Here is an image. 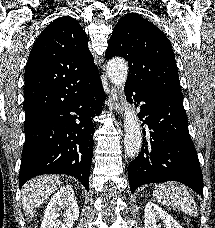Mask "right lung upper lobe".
Returning <instances> with one entry per match:
<instances>
[{"instance_id": "1", "label": "right lung upper lobe", "mask_w": 215, "mask_h": 228, "mask_svg": "<svg viewBox=\"0 0 215 228\" xmlns=\"http://www.w3.org/2000/svg\"><path fill=\"white\" fill-rule=\"evenodd\" d=\"M98 73L79 23L70 16L50 23L34 43L25 69V124L62 106L74 88Z\"/></svg>"}]
</instances>
